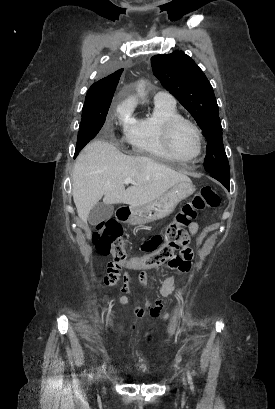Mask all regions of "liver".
Listing matches in <instances>:
<instances>
[{
    "label": "liver",
    "instance_id": "obj_1",
    "mask_svg": "<svg viewBox=\"0 0 275 409\" xmlns=\"http://www.w3.org/2000/svg\"><path fill=\"white\" fill-rule=\"evenodd\" d=\"M127 176L137 184L125 188ZM181 180H189V176L157 164L148 156L123 154L106 140H92L76 158L72 194L79 219L87 223L91 209L102 196L105 205L125 202L131 207H141Z\"/></svg>",
    "mask_w": 275,
    "mask_h": 409
}]
</instances>
